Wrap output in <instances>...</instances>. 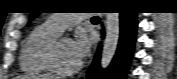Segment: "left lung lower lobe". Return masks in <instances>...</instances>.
<instances>
[{
	"instance_id": "left-lung-lower-lobe-1",
	"label": "left lung lower lobe",
	"mask_w": 177,
	"mask_h": 79,
	"mask_svg": "<svg viewBox=\"0 0 177 79\" xmlns=\"http://www.w3.org/2000/svg\"><path fill=\"white\" fill-rule=\"evenodd\" d=\"M137 25V13H120V39L115 57L110 67L103 72L100 68L99 49L89 68L87 79H125L134 49Z\"/></svg>"
}]
</instances>
